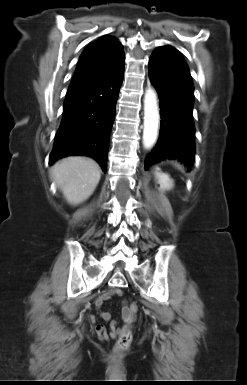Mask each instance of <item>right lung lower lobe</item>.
I'll return each instance as SVG.
<instances>
[{"mask_svg": "<svg viewBox=\"0 0 247 385\" xmlns=\"http://www.w3.org/2000/svg\"><path fill=\"white\" fill-rule=\"evenodd\" d=\"M123 74L124 65L113 73L68 89L50 164L65 156L85 155L94 158L106 171L109 137Z\"/></svg>", "mask_w": 247, "mask_h": 385, "instance_id": "obj_1", "label": "right lung lower lobe"}]
</instances>
